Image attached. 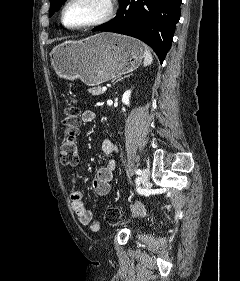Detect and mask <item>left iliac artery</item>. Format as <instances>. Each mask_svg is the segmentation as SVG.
Listing matches in <instances>:
<instances>
[{
	"instance_id": "44dca946",
	"label": "left iliac artery",
	"mask_w": 240,
	"mask_h": 281,
	"mask_svg": "<svg viewBox=\"0 0 240 281\" xmlns=\"http://www.w3.org/2000/svg\"><path fill=\"white\" fill-rule=\"evenodd\" d=\"M142 171L140 169L136 170L137 175H141Z\"/></svg>"
}]
</instances>
